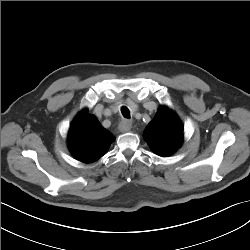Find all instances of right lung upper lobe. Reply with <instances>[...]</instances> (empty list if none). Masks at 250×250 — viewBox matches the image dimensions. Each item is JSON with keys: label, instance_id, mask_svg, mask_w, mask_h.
<instances>
[{"label": "right lung upper lobe", "instance_id": "obj_1", "mask_svg": "<svg viewBox=\"0 0 250 250\" xmlns=\"http://www.w3.org/2000/svg\"><path fill=\"white\" fill-rule=\"evenodd\" d=\"M114 140L115 137L87 109L76 116L68 134L70 152L76 159L86 163L101 158Z\"/></svg>", "mask_w": 250, "mask_h": 250}]
</instances>
